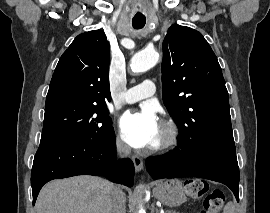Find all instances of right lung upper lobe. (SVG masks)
I'll list each match as a JSON object with an SVG mask.
<instances>
[{
    "label": "right lung upper lobe",
    "mask_w": 270,
    "mask_h": 213,
    "mask_svg": "<svg viewBox=\"0 0 270 213\" xmlns=\"http://www.w3.org/2000/svg\"><path fill=\"white\" fill-rule=\"evenodd\" d=\"M110 46L102 30L78 35L55 68L45 107L73 102L106 105Z\"/></svg>",
    "instance_id": "obj_1"
}]
</instances>
